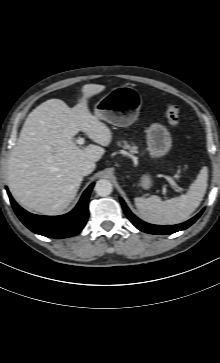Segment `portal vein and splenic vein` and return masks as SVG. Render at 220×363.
Instances as JSON below:
<instances>
[{
  "mask_svg": "<svg viewBox=\"0 0 220 363\" xmlns=\"http://www.w3.org/2000/svg\"><path fill=\"white\" fill-rule=\"evenodd\" d=\"M76 142L79 145H83L85 143V140H84V138L80 137L76 140ZM166 179L170 182V184L172 185V187L174 188L175 191L180 192L181 189L177 186V184L174 182V180L170 176H167Z\"/></svg>",
  "mask_w": 220,
  "mask_h": 363,
  "instance_id": "18ae733b",
  "label": "portal vein and splenic vein"
}]
</instances>
